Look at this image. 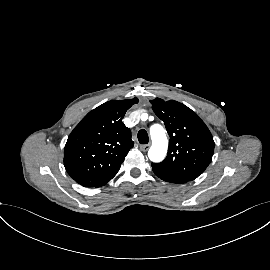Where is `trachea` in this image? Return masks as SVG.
Listing matches in <instances>:
<instances>
[{
	"label": "trachea",
	"instance_id": "trachea-1",
	"mask_svg": "<svg viewBox=\"0 0 270 270\" xmlns=\"http://www.w3.org/2000/svg\"><path fill=\"white\" fill-rule=\"evenodd\" d=\"M137 137L140 144H147L149 141L148 134L144 129L139 130Z\"/></svg>",
	"mask_w": 270,
	"mask_h": 270
}]
</instances>
